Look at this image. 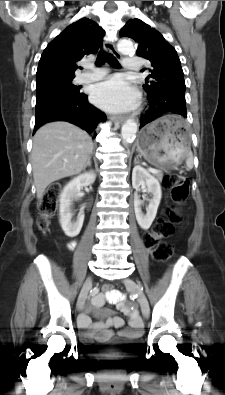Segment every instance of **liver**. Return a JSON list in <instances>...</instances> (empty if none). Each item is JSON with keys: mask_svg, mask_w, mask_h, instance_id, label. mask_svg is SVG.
Returning a JSON list of instances; mask_svg holds the SVG:
<instances>
[{"mask_svg": "<svg viewBox=\"0 0 225 395\" xmlns=\"http://www.w3.org/2000/svg\"><path fill=\"white\" fill-rule=\"evenodd\" d=\"M93 148L89 134L69 122H51L37 130L31 152L37 198L52 182L79 174Z\"/></svg>", "mask_w": 225, "mask_h": 395, "instance_id": "6515ba94", "label": "liver"}]
</instances>
